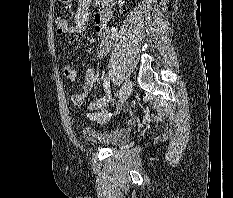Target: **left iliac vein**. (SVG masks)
Segmentation results:
<instances>
[{"label": "left iliac vein", "instance_id": "left-iliac-vein-1", "mask_svg": "<svg viewBox=\"0 0 233 198\" xmlns=\"http://www.w3.org/2000/svg\"><path fill=\"white\" fill-rule=\"evenodd\" d=\"M132 89H133V83L130 80L126 81L123 84V86L120 89V94H119L120 107L129 98V96L132 92Z\"/></svg>", "mask_w": 233, "mask_h": 198}]
</instances>
